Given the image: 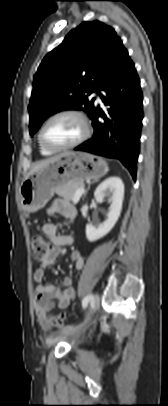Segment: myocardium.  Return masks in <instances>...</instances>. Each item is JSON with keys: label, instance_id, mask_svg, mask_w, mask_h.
Returning a JSON list of instances; mask_svg holds the SVG:
<instances>
[{"label": "myocardium", "instance_id": "f54148a6", "mask_svg": "<svg viewBox=\"0 0 168 406\" xmlns=\"http://www.w3.org/2000/svg\"><path fill=\"white\" fill-rule=\"evenodd\" d=\"M65 115L74 116L80 120V122L82 123V126H83L82 134L80 135L79 138H77L75 141H73L72 143H70L68 145L54 146V145L49 144L44 137V131H45L46 126L52 120H54L58 117H61V116H65ZM90 135H91V125H90L88 117L82 111H80L78 109L67 108V109L57 111L56 113L52 114L43 123V125L40 128L39 134H38V139L44 148H46L47 150H50V151L57 152V151H64V150L72 149V148H75V147L81 145L83 142H85L89 138Z\"/></svg>", "mask_w": 168, "mask_h": 406}]
</instances>
